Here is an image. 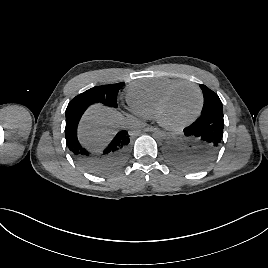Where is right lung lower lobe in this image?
<instances>
[{"label": "right lung lower lobe", "instance_id": "1", "mask_svg": "<svg viewBox=\"0 0 268 268\" xmlns=\"http://www.w3.org/2000/svg\"><path fill=\"white\" fill-rule=\"evenodd\" d=\"M89 103H77L66 109V144L74 159L94 174H106L119 168L127 158L130 136L123 130L101 151L93 152L83 147L77 139V126Z\"/></svg>", "mask_w": 268, "mask_h": 268}]
</instances>
